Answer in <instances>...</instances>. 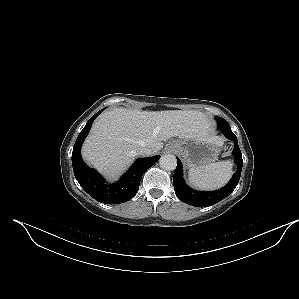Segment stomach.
Here are the masks:
<instances>
[{
  "label": "stomach",
  "mask_w": 299,
  "mask_h": 299,
  "mask_svg": "<svg viewBox=\"0 0 299 299\" xmlns=\"http://www.w3.org/2000/svg\"><path fill=\"white\" fill-rule=\"evenodd\" d=\"M222 146V139L213 135L201 138L178 139L169 144V147L181 155L190 168L213 163L217 160Z\"/></svg>",
  "instance_id": "obj_1"
}]
</instances>
